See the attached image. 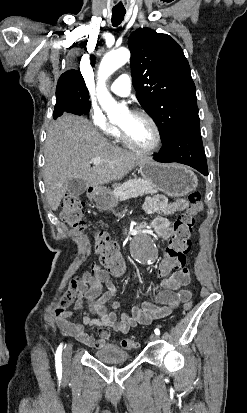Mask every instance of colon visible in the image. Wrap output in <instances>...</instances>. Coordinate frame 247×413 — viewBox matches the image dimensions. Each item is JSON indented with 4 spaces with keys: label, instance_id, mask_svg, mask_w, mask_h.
Returning a JSON list of instances; mask_svg holds the SVG:
<instances>
[{
    "label": "colon",
    "instance_id": "5ec220e1",
    "mask_svg": "<svg viewBox=\"0 0 247 413\" xmlns=\"http://www.w3.org/2000/svg\"><path fill=\"white\" fill-rule=\"evenodd\" d=\"M190 210L183 217L174 220L172 226L174 233L170 244L167 245L163 252V260L160 267L157 269V274L160 277H165L172 265H183L186 259V253L189 252L190 236L189 228L193 227L196 222V215L203 208L201 194L193 191L188 195ZM61 220L70 228L77 231H82L86 227V220L83 218V203L78 196L66 195L60 207ZM98 244L99 258L105 262L112 275H119L127 270V265L122 262L125 258V253L118 250L117 246L109 240L105 233L96 235ZM192 308V302L187 301L183 304L182 310L187 313ZM133 346L132 341L122 340L121 347L129 349Z\"/></svg>",
    "mask_w": 247,
    "mask_h": 413
}]
</instances>
